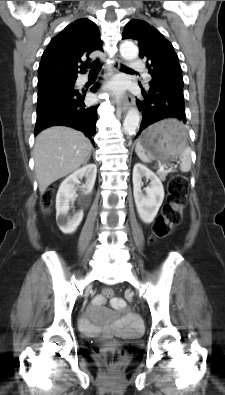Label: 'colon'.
<instances>
[{"label":"colon","mask_w":225,"mask_h":395,"mask_svg":"<svg viewBox=\"0 0 225 395\" xmlns=\"http://www.w3.org/2000/svg\"><path fill=\"white\" fill-rule=\"evenodd\" d=\"M187 179L183 176H173L168 181L167 203L163 207L161 215L155 220L152 226V236L157 239L168 237L174 227L180 224L182 220V205L187 195ZM54 192L48 190L42 198V208L47 211L52 206ZM104 296H112L111 287H103ZM123 349L112 344L102 350V355L107 364L113 365L120 361L123 356Z\"/></svg>","instance_id":"colon-1"}]
</instances>
